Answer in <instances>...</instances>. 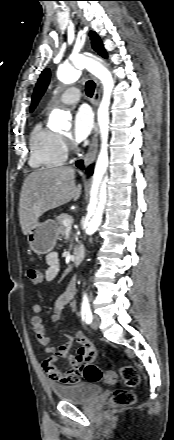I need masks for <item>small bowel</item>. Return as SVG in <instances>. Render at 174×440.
Listing matches in <instances>:
<instances>
[{
    "mask_svg": "<svg viewBox=\"0 0 174 440\" xmlns=\"http://www.w3.org/2000/svg\"><path fill=\"white\" fill-rule=\"evenodd\" d=\"M47 268L44 273L46 281H53L60 272V260L56 251H51L46 257ZM76 291V278L73 277L67 284L63 294L55 299L52 305V321L57 322L66 307L71 311L77 308L74 299ZM32 311L35 315L31 318V325L36 334L38 342L45 347V352L52 357L47 359L44 364L47 366L45 371L50 380L61 384L78 383L82 375L83 367L86 363L92 361L96 356V348L88 337L81 331L74 335H67L65 342L58 348L50 345V338L47 335V328L40 314L44 307L40 304H33ZM76 345L74 353H70L71 348ZM57 358H68L70 369L62 371L57 366Z\"/></svg>",
    "mask_w": 174,
    "mask_h": 440,
    "instance_id": "c3829d8e",
    "label": "small bowel"
}]
</instances>
